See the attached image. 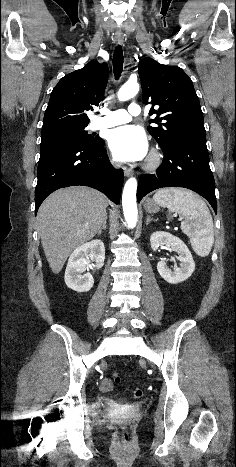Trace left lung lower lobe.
<instances>
[{
    "mask_svg": "<svg viewBox=\"0 0 236 467\" xmlns=\"http://www.w3.org/2000/svg\"><path fill=\"white\" fill-rule=\"evenodd\" d=\"M164 159L155 174L139 178L137 200L163 187H184L203 196L217 213L215 181L209 166L205 134L178 137L170 146L162 148Z\"/></svg>",
    "mask_w": 236,
    "mask_h": 467,
    "instance_id": "obj_1",
    "label": "left lung lower lobe"
}]
</instances>
